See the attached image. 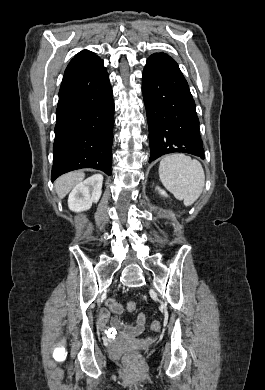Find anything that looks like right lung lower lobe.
<instances>
[{
    "label": "right lung lower lobe",
    "instance_id": "1",
    "mask_svg": "<svg viewBox=\"0 0 265 390\" xmlns=\"http://www.w3.org/2000/svg\"><path fill=\"white\" fill-rule=\"evenodd\" d=\"M56 117L52 181L85 167L110 176L114 103L103 60L62 80Z\"/></svg>",
    "mask_w": 265,
    "mask_h": 390
}]
</instances>
